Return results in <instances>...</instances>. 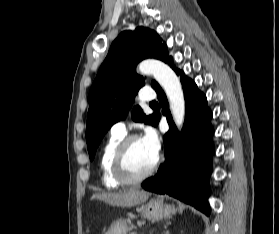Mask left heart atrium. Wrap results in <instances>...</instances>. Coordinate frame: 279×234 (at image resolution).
I'll return each mask as SVG.
<instances>
[{"instance_id":"1","label":"left heart atrium","mask_w":279,"mask_h":234,"mask_svg":"<svg viewBox=\"0 0 279 234\" xmlns=\"http://www.w3.org/2000/svg\"><path fill=\"white\" fill-rule=\"evenodd\" d=\"M145 145L158 156L160 149V142L156 131L151 127H146L144 135L141 138Z\"/></svg>"}]
</instances>
